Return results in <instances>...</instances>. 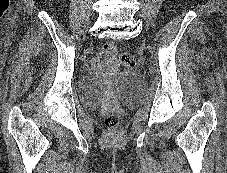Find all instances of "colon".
<instances>
[{"mask_svg":"<svg viewBox=\"0 0 227 173\" xmlns=\"http://www.w3.org/2000/svg\"><path fill=\"white\" fill-rule=\"evenodd\" d=\"M104 51L108 55H116L117 54V47L113 43H107L104 45ZM120 62L129 68H135L136 62L134 58L130 54H121L119 56ZM104 124L109 129H116L121 124L120 115L116 112H109L104 116Z\"/></svg>","mask_w":227,"mask_h":173,"instance_id":"obj_1","label":"colon"}]
</instances>
